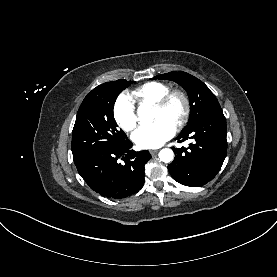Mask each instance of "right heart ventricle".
I'll return each instance as SVG.
<instances>
[{
  "label": "right heart ventricle",
  "instance_id": "1",
  "mask_svg": "<svg viewBox=\"0 0 277 277\" xmlns=\"http://www.w3.org/2000/svg\"><path fill=\"white\" fill-rule=\"evenodd\" d=\"M170 90L165 83L152 81L147 82L132 91L131 96L141 105H153Z\"/></svg>",
  "mask_w": 277,
  "mask_h": 277
}]
</instances>
